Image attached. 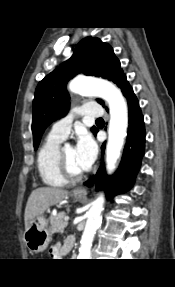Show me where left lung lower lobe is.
Wrapping results in <instances>:
<instances>
[{
    "mask_svg": "<svg viewBox=\"0 0 175 287\" xmlns=\"http://www.w3.org/2000/svg\"><path fill=\"white\" fill-rule=\"evenodd\" d=\"M123 95L128 103L129 127L120 167L114 176L108 177L103 165H101L97 175L84 183L87 186H92L96 181V189L103 188L109 197L123 193L132 187L140 169L145 148L146 134L143 115L130 85L123 91ZM101 149L103 155L105 144L102 145Z\"/></svg>",
    "mask_w": 175,
    "mask_h": 287,
    "instance_id": "1",
    "label": "left lung lower lobe"
}]
</instances>
